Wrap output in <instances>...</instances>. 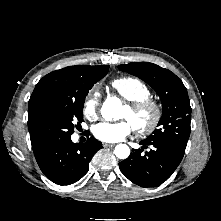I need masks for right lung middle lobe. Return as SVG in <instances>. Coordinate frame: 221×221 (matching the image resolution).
<instances>
[{
	"label": "right lung middle lobe",
	"instance_id": "1",
	"mask_svg": "<svg viewBox=\"0 0 221 221\" xmlns=\"http://www.w3.org/2000/svg\"><path fill=\"white\" fill-rule=\"evenodd\" d=\"M108 67L100 74L77 83L40 111L36 135L42 147L74 133L75 123L79 125L83 121V106L89 90L107 74Z\"/></svg>",
	"mask_w": 221,
	"mask_h": 221
}]
</instances>
